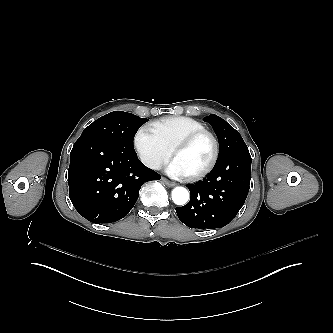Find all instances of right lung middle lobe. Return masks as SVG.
<instances>
[{
	"label": "right lung middle lobe",
	"instance_id": "obj_1",
	"mask_svg": "<svg viewBox=\"0 0 333 333\" xmlns=\"http://www.w3.org/2000/svg\"><path fill=\"white\" fill-rule=\"evenodd\" d=\"M148 119L131 113L114 111L106 114L86 127L80 137L95 135L116 143L125 151L135 153L133 139L137 130Z\"/></svg>",
	"mask_w": 333,
	"mask_h": 333
}]
</instances>
